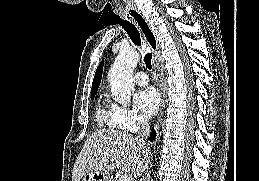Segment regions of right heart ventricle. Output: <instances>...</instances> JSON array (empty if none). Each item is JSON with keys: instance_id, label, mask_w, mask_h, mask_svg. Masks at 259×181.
Instances as JSON below:
<instances>
[{"instance_id": "e07e8e85", "label": "right heart ventricle", "mask_w": 259, "mask_h": 181, "mask_svg": "<svg viewBox=\"0 0 259 181\" xmlns=\"http://www.w3.org/2000/svg\"><path fill=\"white\" fill-rule=\"evenodd\" d=\"M96 121L100 126L118 128L112 121L110 111L103 103H100L96 110Z\"/></svg>"}]
</instances>
